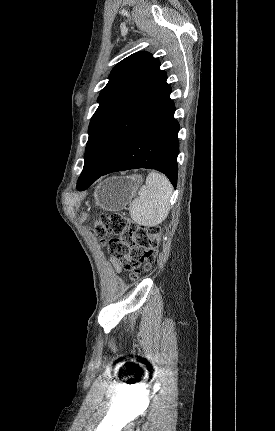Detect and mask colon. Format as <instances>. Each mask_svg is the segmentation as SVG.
<instances>
[{"mask_svg":"<svg viewBox=\"0 0 275 431\" xmlns=\"http://www.w3.org/2000/svg\"><path fill=\"white\" fill-rule=\"evenodd\" d=\"M94 229L102 238L107 234L115 235L108 242H103L109 253L130 271L132 279L139 278L141 268L149 269L155 261L161 236L160 227L137 225L121 214H111L100 216Z\"/></svg>","mask_w":275,"mask_h":431,"instance_id":"colon-1","label":"colon"}]
</instances>
